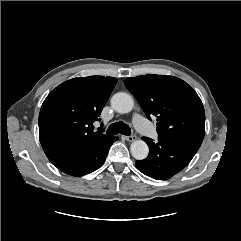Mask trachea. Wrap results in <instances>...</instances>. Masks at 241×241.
<instances>
[{
    "instance_id": "trachea-1",
    "label": "trachea",
    "mask_w": 241,
    "mask_h": 241,
    "mask_svg": "<svg viewBox=\"0 0 241 241\" xmlns=\"http://www.w3.org/2000/svg\"><path fill=\"white\" fill-rule=\"evenodd\" d=\"M108 134H123V135H131L130 127L122 121L112 123L108 129Z\"/></svg>"
}]
</instances>
